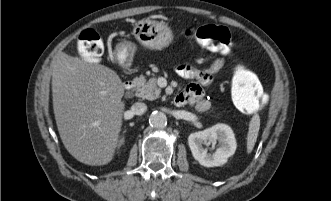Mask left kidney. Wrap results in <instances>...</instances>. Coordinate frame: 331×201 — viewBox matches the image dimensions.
Masks as SVG:
<instances>
[{"label":"left kidney","instance_id":"left-kidney-1","mask_svg":"<svg viewBox=\"0 0 331 201\" xmlns=\"http://www.w3.org/2000/svg\"><path fill=\"white\" fill-rule=\"evenodd\" d=\"M217 141L219 147L213 152H208L205 146L212 145L214 148ZM188 144L192 155L202 166L215 167L225 164L236 150V140L233 130L226 124H216L203 131L191 133Z\"/></svg>","mask_w":331,"mask_h":201}]
</instances>
